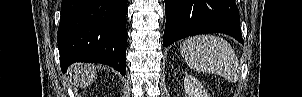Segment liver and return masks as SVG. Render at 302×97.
<instances>
[{
	"label": "liver",
	"instance_id": "obj_1",
	"mask_svg": "<svg viewBox=\"0 0 302 97\" xmlns=\"http://www.w3.org/2000/svg\"><path fill=\"white\" fill-rule=\"evenodd\" d=\"M70 79L80 87H87L96 77V66L75 64L69 69Z\"/></svg>",
	"mask_w": 302,
	"mask_h": 97
}]
</instances>
